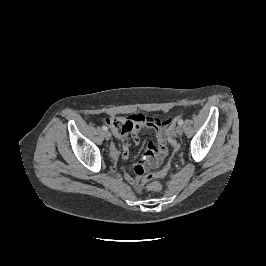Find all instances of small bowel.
Instances as JSON below:
<instances>
[{
  "label": "small bowel",
  "instance_id": "c3829d8e",
  "mask_svg": "<svg viewBox=\"0 0 266 266\" xmlns=\"http://www.w3.org/2000/svg\"><path fill=\"white\" fill-rule=\"evenodd\" d=\"M173 119H160L141 114H132L126 117H114L107 119V123L114 135L122 140V158L128 159L129 145L127 136L131 135L135 143L140 142L139 129L141 126L151 127L156 132V143L149 142L143 152L142 159L133 169V174L125 173V179L137 190L141 189L140 179L145 171L156 168L167 154L166 132ZM116 155V151H114Z\"/></svg>",
  "mask_w": 266,
  "mask_h": 266
}]
</instances>
